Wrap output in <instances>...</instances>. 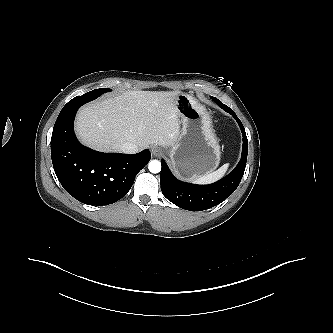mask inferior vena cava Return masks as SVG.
<instances>
[{
  "label": "inferior vena cava",
  "mask_w": 333,
  "mask_h": 333,
  "mask_svg": "<svg viewBox=\"0 0 333 333\" xmlns=\"http://www.w3.org/2000/svg\"><path fill=\"white\" fill-rule=\"evenodd\" d=\"M120 150L126 154H134L139 151V147L131 142H126L121 145Z\"/></svg>",
  "instance_id": "1"
}]
</instances>
